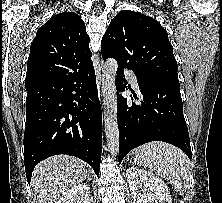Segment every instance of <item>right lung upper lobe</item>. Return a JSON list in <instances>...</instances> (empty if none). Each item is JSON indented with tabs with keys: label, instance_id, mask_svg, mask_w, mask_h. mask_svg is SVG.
<instances>
[{
	"label": "right lung upper lobe",
	"instance_id": "obj_1",
	"mask_svg": "<svg viewBox=\"0 0 222 203\" xmlns=\"http://www.w3.org/2000/svg\"><path fill=\"white\" fill-rule=\"evenodd\" d=\"M89 36L79 15L64 12L41 26L30 47L25 84L93 66Z\"/></svg>",
	"mask_w": 222,
	"mask_h": 203
}]
</instances>
